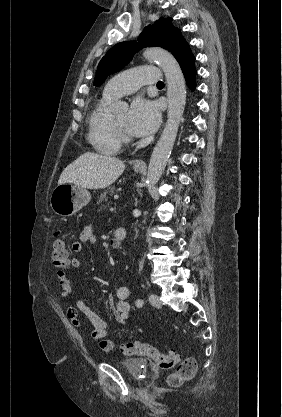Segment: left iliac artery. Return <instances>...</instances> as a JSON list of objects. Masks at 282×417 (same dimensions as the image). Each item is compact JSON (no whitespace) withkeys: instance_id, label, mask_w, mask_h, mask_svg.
<instances>
[{"instance_id":"obj_1","label":"left iliac artery","mask_w":282,"mask_h":417,"mask_svg":"<svg viewBox=\"0 0 282 417\" xmlns=\"http://www.w3.org/2000/svg\"><path fill=\"white\" fill-rule=\"evenodd\" d=\"M143 303H144L143 300L138 299L135 304L137 307H142Z\"/></svg>"}]
</instances>
